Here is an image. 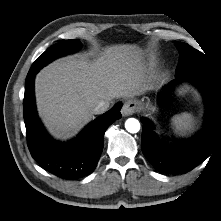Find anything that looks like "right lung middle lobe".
Segmentation results:
<instances>
[{
    "instance_id": "1",
    "label": "right lung middle lobe",
    "mask_w": 221,
    "mask_h": 221,
    "mask_svg": "<svg viewBox=\"0 0 221 221\" xmlns=\"http://www.w3.org/2000/svg\"><path fill=\"white\" fill-rule=\"evenodd\" d=\"M80 48L78 40H62L47 49L31 66L29 73H37L43 66L63 55L73 53Z\"/></svg>"
}]
</instances>
